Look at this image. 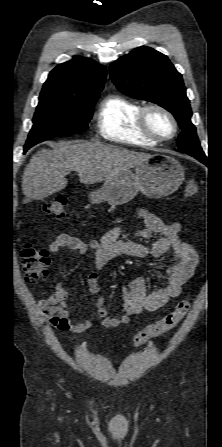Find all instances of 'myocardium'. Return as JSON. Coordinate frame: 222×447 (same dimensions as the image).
Listing matches in <instances>:
<instances>
[{"mask_svg": "<svg viewBox=\"0 0 222 447\" xmlns=\"http://www.w3.org/2000/svg\"><path fill=\"white\" fill-rule=\"evenodd\" d=\"M151 111H158L160 113H162L163 115H165L170 122L172 123L173 126V130L172 133L169 136H160L156 133H154L151 128L148 125V114ZM138 124L139 127L141 129V131L149 136L150 138L159 141V142H163V141H168L170 139H172L178 131V123L177 120L175 118V116L165 107H163L162 105L156 104V103H149L143 107H141L139 115H138Z\"/></svg>", "mask_w": 222, "mask_h": 447, "instance_id": "1", "label": "myocardium"}]
</instances>
